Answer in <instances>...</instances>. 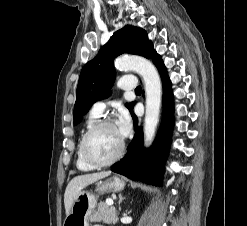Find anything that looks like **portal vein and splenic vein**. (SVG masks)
<instances>
[{
  "label": "portal vein and splenic vein",
  "instance_id": "1",
  "mask_svg": "<svg viewBox=\"0 0 247 226\" xmlns=\"http://www.w3.org/2000/svg\"><path fill=\"white\" fill-rule=\"evenodd\" d=\"M106 203H107L108 205H112V204H113V200H112V199H107V200H106Z\"/></svg>",
  "mask_w": 247,
  "mask_h": 226
}]
</instances>
